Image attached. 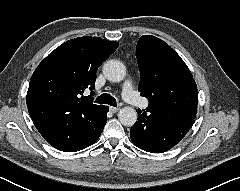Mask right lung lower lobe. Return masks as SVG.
Returning a JSON list of instances; mask_svg holds the SVG:
<instances>
[{
    "instance_id": "obj_1",
    "label": "right lung lower lobe",
    "mask_w": 240,
    "mask_h": 191,
    "mask_svg": "<svg viewBox=\"0 0 240 191\" xmlns=\"http://www.w3.org/2000/svg\"><path fill=\"white\" fill-rule=\"evenodd\" d=\"M108 110L107 106H103L94 116L79 123L59 122L39 132L58 150L76 152L97 141L106 124Z\"/></svg>"
}]
</instances>
